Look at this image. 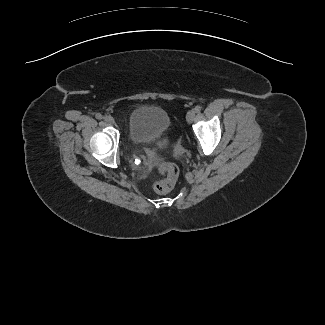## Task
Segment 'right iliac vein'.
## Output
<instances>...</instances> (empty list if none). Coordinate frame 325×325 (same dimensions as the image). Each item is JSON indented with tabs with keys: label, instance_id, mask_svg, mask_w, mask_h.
Segmentation results:
<instances>
[{
	"label": "right iliac vein",
	"instance_id": "right-iliac-vein-1",
	"mask_svg": "<svg viewBox=\"0 0 325 325\" xmlns=\"http://www.w3.org/2000/svg\"><path fill=\"white\" fill-rule=\"evenodd\" d=\"M103 119H104V121H105L106 123H108V124H114V123H115L114 118L111 117V116L106 115V116L103 117Z\"/></svg>",
	"mask_w": 325,
	"mask_h": 325
}]
</instances>
